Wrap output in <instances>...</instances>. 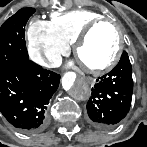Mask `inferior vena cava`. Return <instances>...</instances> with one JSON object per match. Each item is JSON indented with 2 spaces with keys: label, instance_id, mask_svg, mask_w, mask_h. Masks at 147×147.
Instances as JSON below:
<instances>
[{
  "label": "inferior vena cava",
  "instance_id": "602c4592",
  "mask_svg": "<svg viewBox=\"0 0 147 147\" xmlns=\"http://www.w3.org/2000/svg\"><path fill=\"white\" fill-rule=\"evenodd\" d=\"M61 63H62V60L59 59V60H57V61H55V62H53L51 64H48L47 66L48 67H59L61 65Z\"/></svg>",
  "mask_w": 147,
  "mask_h": 147
}]
</instances>
